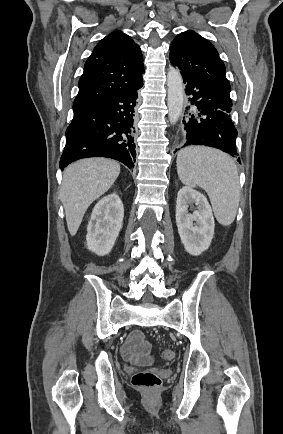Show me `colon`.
I'll return each mask as SVG.
<instances>
[{"instance_id": "1", "label": "colon", "mask_w": 283, "mask_h": 434, "mask_svg": "<svg viewBox=\"0 0 283 434\" xmlns=\"http://www.w3.org/2000/svg\"><path fill=\"white\" fill-rule=\"evenodd\" d=\"M175 357V352L172 349H165L162 352V358L172 360ZM134 386L146 390H153L161 384V379L153 372L141 371L135 374L132 378Z\"/></svg>"}]
</instances>
